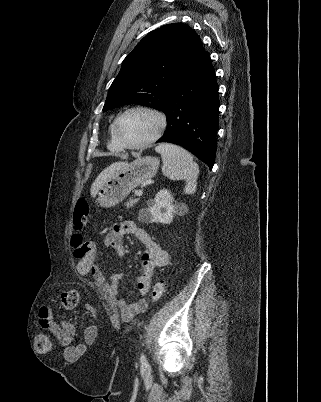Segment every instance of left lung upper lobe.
Masks as SVG:
<instances>
[{"instance_id": "obj_1", "label": "left lung upper lobe", "mask_w": 321, "mask_h": 402, "mask_svg": "<svg viewBox=\"0 0 321 402\" xmlns=\"http://www.w3.org/2000/svg\"><path fill=\"white\" fill-rule=\"evenodd\" d=\"M204 53L200 38L186 24L150 32L124 59L103 112L132 103L163 110L168 95Z\"/></svg>"}]
</instances>
